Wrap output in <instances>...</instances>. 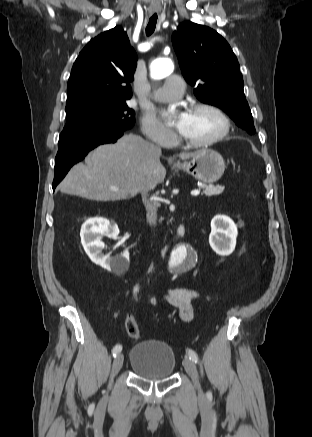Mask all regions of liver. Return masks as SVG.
Listing matches in <instances>:
<instances>
[{
    "label": "liver",
    "instance_id": "6515ba94",
    "mask_svg": "<svg viewBox=\"0 0 312 437\" xmlns=\"http://www.w3.org/2000/svg\"><path fill=\"white\" fill-rule=\"evenodd\" d=\"M197 152L180 153L183 160ZM157 146L127 134L115 144L92 150L60 183L62 193L94 201H116L149 192L162 183L166 170ZM117 189V190H114Z\"/></svg>",
    "mask_w": 312,
    "mask_h": 437
}]
</instances>
